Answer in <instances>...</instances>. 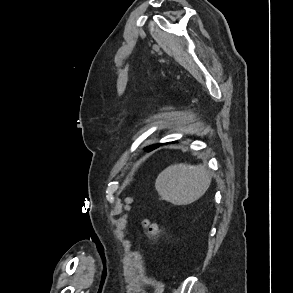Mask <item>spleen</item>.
<instances>
[{
    "label": "spleen",
    "mask_w": 293,
    "mask_h": 293,
    "mask_svg": "<svg viewBox=\"0 0 293 293\" xmlns=\"http://www.w3.org/2000/svg\"><path fill=\"white\" fill-rule=\"evenodd\" d=\"M210 184L211 174L205 165L179 163L164 169L155 187L163 200L174 205H188L203 196Z\"/></svg>",
    "instance_id": "1"
}]
</instances>
